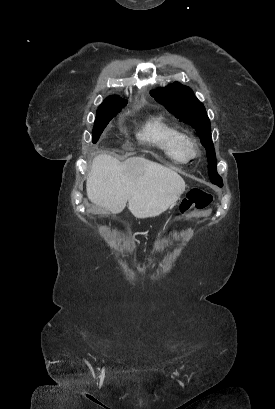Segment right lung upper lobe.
Instances as JSON below:
<instances>
[{
  "label": "right lung upper lobe",
  "mask_w": 275,
  "mask_h": 409,
  "mask_svg": "<svg viewBox=\"0 0 275 409\" xmlns=\"http://www.w3.org/2000/svg\"><path fill=\"white\" fill-rule=\"evenodd\" d=\"M126 103V100L118 96H110L99 106L97 112L120 110Z\"/></svg>",
  "instance_id": "cb5924a9"
}]
</instances>
